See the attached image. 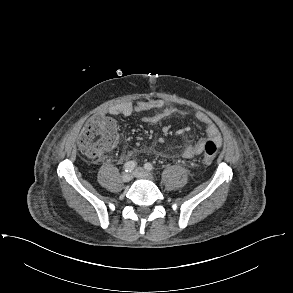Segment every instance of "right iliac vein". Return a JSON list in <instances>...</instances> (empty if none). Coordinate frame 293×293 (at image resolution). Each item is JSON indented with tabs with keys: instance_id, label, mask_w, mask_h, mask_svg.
<instances>
[{
	"instance_id": "63e3f726",
	"label": "right iliac vein",
	"mask_w": 293,
	"mask_h": 293,
	"mask_svg": "<svg viewBox=\"0 0 293 293\" xmlns=\"http://www.w3.org/2000/svg\"><path fill=\"white\" fill-rule=\"evenodd\" d=\"M133 175L131 173L125 172L122 174V181L128 183L132 180Z\"/></svg>"
}]
</instances>
